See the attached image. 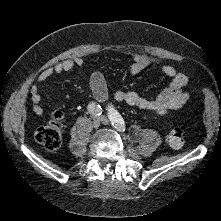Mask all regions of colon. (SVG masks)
Here are the masks:
<instances>
[{
	"label": "colon",
	"mask_w": 221,
	"mask_h": 221,
	"mask_svg": "<svg viewBox=\"0 0 221 221\" xmlns=\"http://www.w3.org/2000/svg\"><path fill=\"white\" fill-rule=\"evenodd\" d=\"M63 112L59 109L51 113V119L36 130V140L48 150H56L61 145ZM166 142L173 149H181L185 144L180 128H173L166 136Z\"/></svg>",
	"instance_id": "colon-1"
}]
</instances>
